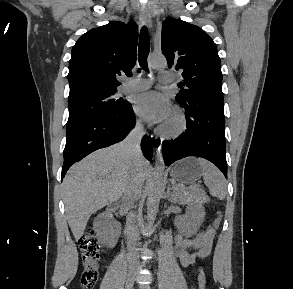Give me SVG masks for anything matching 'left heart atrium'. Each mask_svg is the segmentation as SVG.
Returning <instances> with one entry per match:
<instances>
[{"mask_svg": "<svg viewBox=\"0 0 293 289\" xmlns=\"http://www.w3.org/2000/svg\"><path fill=\"white\" fill-rule=\"evenodd\" d=\"M135 111L150 123H164L171 117L168 99L158 92H147L138 96Z\"/></svg>", "mask_w": 293, "mask_h": 289, "instance_id": "left-heart-atrium-1", "label": "left heart atrium"}]
</instances>
